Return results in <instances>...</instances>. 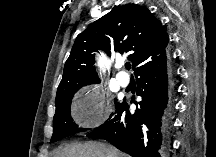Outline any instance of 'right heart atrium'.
<instances>
[{
    "mask_svg": "<svg viewBox=\"0 0 216 157\" xmlns=\"http://www.w3.org/2000/svg\"><path fill=\"white\" fill-rule=\"evenodd\" d=\"M83 105L84 107L76 119L82 127L98 126L112 113V105L105 100L96 87L86 91Z\"/></svg>",
    "mask_w": 216,
    "mask_h": 157,
    "instance_id": "1",
    "label": "right heart atrium"
}]
</instances>
